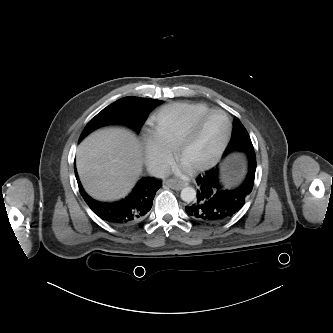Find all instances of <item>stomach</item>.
I'll return each instance as SVG.
<instances>
[{
    "mask_svg": "<svg viewBox=\"0 0 333 333\" xmlns=\"http://www.w3.org/2000/svg\"><path fill=\"white\" fill-rule=\"evenodd\" d=\"M244 159L243 157H231L227 159L221 168V179L228 186L235 185L244 172Z\"/></svg>",
    "mask_w": 333,
    "mask_h": 333,
    "instance_id": "stomach-1",
    "label": "stomach"
}]
</instances>
